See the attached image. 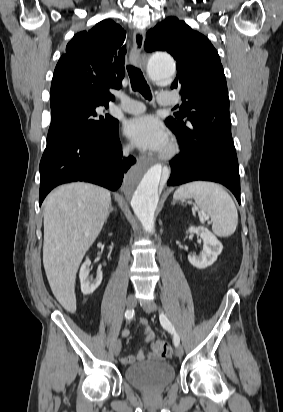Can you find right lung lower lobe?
Listing matches in <instances>:
<instances>
[{"label":"right lung lower lobe","instance_id":"right-lung-lower-lobe-1","mask_svg":"<svg viewBox=\"0 0 283 412\" xmlns=\"http://www.w3.org/2000/svg\"><path fill=\"white\" fill-rule=\"evenodd\" d=\"M135 162L132 156L122 160L118 124L101 135L86 131L59 135L47 143L40 162L39 204L54 187L67 182L86 181L117 190Z\"/></svg>","mask_w":283,"mask_h":412}]
</instances>
